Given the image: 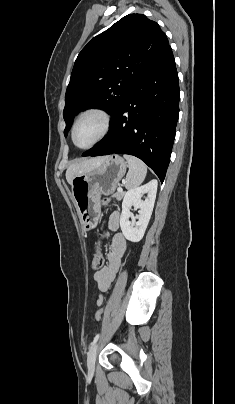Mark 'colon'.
<instances>
[{"mask_svg":"<svg viewBox=\"0 0 235 404\" xmlns=\"http://www.w3.org/2000/svg\"><path fill=\"white\" fill-rule=\"evenodd\" d=\"M108 201H109L108 198L104 199V203H107ZM106 236H107V234H104L103 237H106ZM91 265H92V268L94 270H99L104 265V255H103L102 250H101V242L100 241L97 243V249H96V251H95V253L93 255ZM102 317H103V309H98L96 311V313H95V320L100 321L102 319Z\"/></svg>","mask_w":235,"mask_h":404,"instance_id":"colon-1","label":"colon"}]
</instances>
